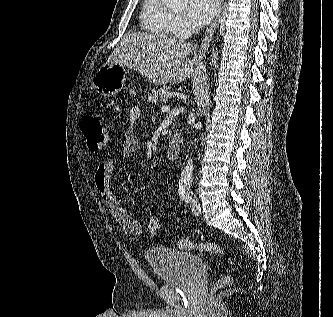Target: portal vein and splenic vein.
<instances>
[{"label": "portal vein and splenic vein", "instance_id": "18ae733b", "mask_svg": "<svg viewBox=\"0 0 333 317\" xmlns=\"http://www.w3.org/2000/svg\"><path fill=\"white\" fill-rule=\"evenodd\" d=\"M162 111L168 112V111H170V107L168 105H164V106H162Z\"/></svg>", "mask_w": 333, "mask_h": 317}]
</instances>
